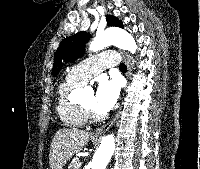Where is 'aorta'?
<instances>
[{"label": "aorta", "instance_id": "762f6f07", "mask_svg": "<svg viewBox=\"0 0 200 169\" xmlns=\"http://www.w3.org/2000/svg\"><path fill=\"white\" fill-rule=\"evenodd\" d=\"M110 45L130 51L134 53L137 49L134 38L127 32L107 29L102 33H98L90 43V50L97 52ZM115 150V139L113 134L102 138L99 148L95 151L91 161L92 169H106Z\"/></svg>", "mask_w": 200, "mask_h": 169}]
</instances>
